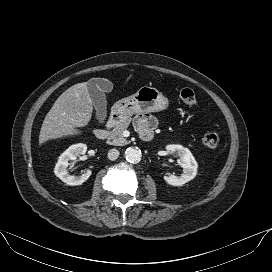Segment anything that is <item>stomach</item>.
Masks as SVG:
<instances>
[{"instance_id": "0dacf381", "label": "stomach", "mask_w": 272, "mask_h": 272, "mask_svg": "<svg viewBox=\"0 0 272 272\" xmlns=\"http://www.w3.org/2000/svg\"><path fill=\"white\" fill-rule=\"evenodd\" d=\"M169 100L156 88L143 86L135 94L117 101L112 112L121 119H127L134 114L159 112L167 109Z\"/></svg>"}]
</instances>
